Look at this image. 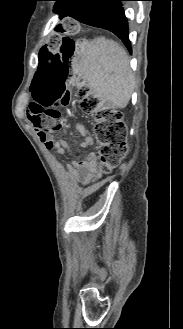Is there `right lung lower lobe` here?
<instances>
[{
  "instance_id": "obj_1",
  "label": "right lung lower lobe",
  "mask_w": 183,
  "mask_h": 329,
  "mask_svg": "<svg viewBox=\"0 0 183 329\" xmlns=\"http://www.w3.org/2000/svg\"><path fill=\"white\" fill-rule=\"evenodd\" d=\"M124 0H59L54 12L82 23L107 29L117 35L131 51L128 22L121 4Z\"/></svg>"
}]
</instances>
